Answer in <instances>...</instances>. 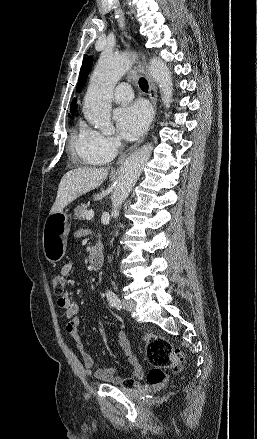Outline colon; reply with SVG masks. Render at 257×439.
Here are the masks:
<instances>
[{
    "label": "colon",
    "mask_w": 257,
    "mask_h": 439,
    "mask_svg": "<svg viewBox=\"0 0 257 439\" xmlns=\"http://www.w3.org/2000/svg\"><path fill=\"white\" fill-rule=\"evenodd\" d=\"M54 293L60 297L65 294L64 278L56 274L52 277ZM146 355L149 363L153 366L147 376L146 389L157 390L164 386L167 380V371H178L184 361L183 353L172 344L155 335L147 334L144 337ZM125 389H139V384L133 379H126L123 382Z\"/></svg>",
    "instance_id": "colon-1"
}]
</instances>
